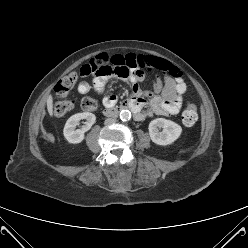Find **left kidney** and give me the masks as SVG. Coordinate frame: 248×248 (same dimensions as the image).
<instances>
[{
    "label": "left kidney",
    "instance_id": "1",
    "mask_svg": "<svg viewBox=\"0 0 248 248\" xmlns=\"http://www.w3.org/2000/svg\"><path fill=\"white\" fill-rule=\"evenodd\" d=\"M162 128V132H159ZM149 135L151 140L157 145H169L179 138L182 128L177 123L164 118H157L149 123Z\"/></svg>",
    "mask_w": 248,
    "mask_h": 248
}]
</instances>
